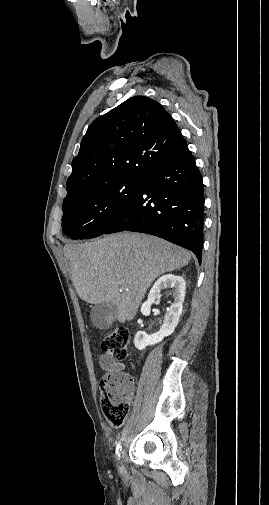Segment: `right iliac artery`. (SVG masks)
I'll list each match as a JSON object with an SVG mask.
<instances>
[{"label":"right iliac artery","instance_id":"82829eb1","mask_svg":"<svg viewBox=\"0 0 269 505\" xmlns=\"http://www.w3.org/2000/svg\"><path fill=\"white\" fill-rule=\"evenodd\" d=\"M121 450V444L118 443L116 446V454L119 456V451Z\"/></svg>","mask_w":269,"mask_h":505}]
</instances>
